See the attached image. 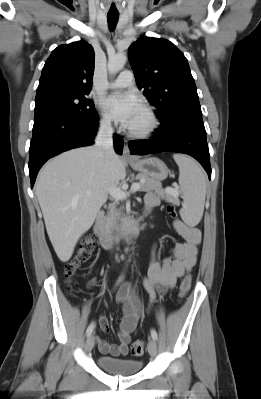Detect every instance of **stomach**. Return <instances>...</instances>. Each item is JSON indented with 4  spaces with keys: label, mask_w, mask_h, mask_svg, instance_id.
Returning <instances> with one entry per match:
<instances>
[{
    "label": "stomach",
    "mask_w": 261,
    "mask_h": 399,
    "mask_svg": "<svg viewBox=\"0 0 261 399\" xmlns=\"http://www.w3.org/2000/svg\"><path fill=\"white\" fill-rule=\"evenodd\" d=\"M130 165L134 170L158 181L166 179L169 173L166 164L156 157L136 159L130 161Z\"/></svg>",
    "instance_id": "1"
}]
</instances>
